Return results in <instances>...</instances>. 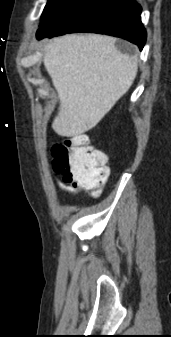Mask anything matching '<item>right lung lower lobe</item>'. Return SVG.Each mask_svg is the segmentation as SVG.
<instances>
[{"label": "right lung lower lobe", "mask_w": 171, "mask_h": 337, "mask_svg": "<svg viewBox=\"0 0 171 337\" xmlns=\"http://www.w3.org/2000/svg\"><path fill=\"white\" fill-rule=\"evenodd\" d=\"M141 6L135 0H72L37 31V38L73 32H94L124 38L139 49L145 45Z\"/></svg>", "instance_id": "obj_1"}]
</instances>
